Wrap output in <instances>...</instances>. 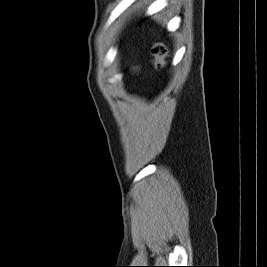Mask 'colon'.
<instances>
[{
    "label": "colon",
    "mask_w": 267,
    "mask_h": 267,
    "mask_svg": "<svg viewBox=\"0 0 267 267\" xmlns=\"http://www.w3.org/2000/svg\"><path fill=\"white\" fill-rule=\"evenodd\" d=\"M169 50L163 43H156L151 48L153 64L156 69H162L166 64Z\"/></svg>",
    "instance_id": "5ec220e1"
}]
</instances>
